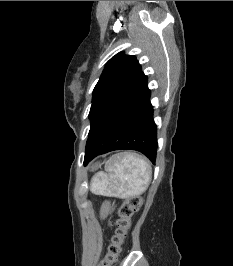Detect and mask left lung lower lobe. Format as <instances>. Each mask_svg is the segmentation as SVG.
<instances>
[{
    "label": "left lung lower lobe",
    "mask_w": 233,
    "mask_h": 266,
    "mask_svg": "<svg viewBox=\"0 0 233 266\" xmlns=\"http://www.w3.org/2000/svg\"><path fill=\"white\" fill-rule=\"evenodd\" d=\"M157 127L143 72L106 108L89 136L84 164L113 150H137L155 163Z\"/></svg>",
    "instance_id": "0a47b994"
}]
</instances>
